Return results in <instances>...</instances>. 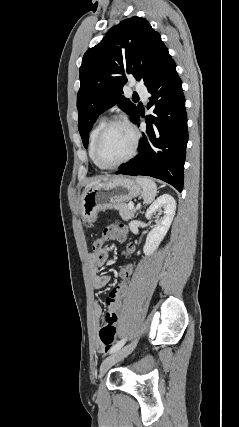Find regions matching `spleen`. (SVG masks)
Masks as SVG:
<instances>
[{
  "mask_svg": "<svg viewBox=\"0 0 239 427\" xmlns=\"http://www.w3.org/2000/svg\"><path fill=\"white\" fill-rule=\"evenodd\" d=\"M136 182L142 187V197L145 204H150L154 201L157 194L156 183L148 177H137Z\"/></svg>",
  "mask_w": 239,
  "mask_h": 427,
  "instance_id": "3e777b00",
  "label": "spleen"
}]
</instances>
